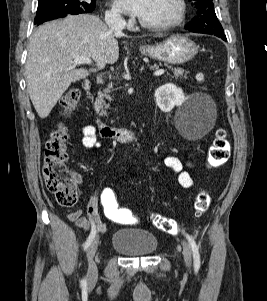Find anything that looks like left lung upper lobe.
<instances>
[{"label":"left lung upper lobe","mask_w":267,"mask_h":301,"mask_svg":"<svg viewBox=\"0 0 267 301\" xmlns=\"http://www.w3.org/2000/svg\"><path fill=\"white\" fill-rule=\"evenodd\" d=\"M197 8V16L185 27L191 32L223 35V28L217 19L212 0H189Z\"/></svg>","instance_id":"5c2ea615"}]
</instances>
